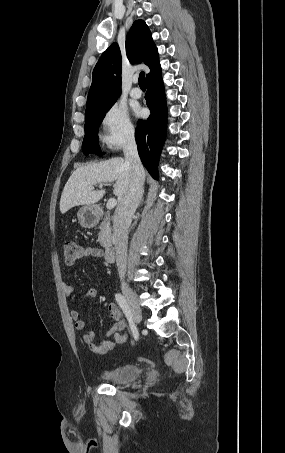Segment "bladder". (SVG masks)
Segmentation results:
<instances>
[{
	"label": "bladder",
	"mask_w": 285,
	"mask_h": 453,
	"mask_svg": "<svg viewBox=\"0 0 285 453\" xmlns=\"http://www.w3.org/2000/svg\"><path fill=\"white\" fill-rule=\"evenodd\" d=\"M141 374L140 368L135 364H123L115 367L103 369L99 372L102 379L114 383L122 384L134 381Z\"/></svg>",
	"instance_id": "obj_1"
}]
</instances>
